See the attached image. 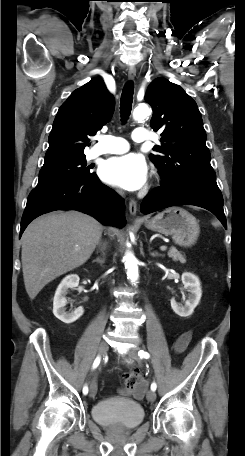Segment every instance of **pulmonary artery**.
I'll return each instance as SVG.
<instances>
[{
	"mask_svg": "<svg viewBox=\"0 0 245 456\" xmlns=\"http://www.w3.org/2000/svg\"><path fill=\"white\" fill-rule=\"evenodd\" d=\"M133 141L140 143L149 139V133L143 128H137L132 133ZM129 149L128 142L121 138L112 135L100 136L98 142L90 151V157L94 158L105 154H120Z\"/></svg>",
	"mask_w": 245,
	"mask_h": 456,
	"instance_id": "1",
	"label": "pulmonary artery"
}]
</instances>
